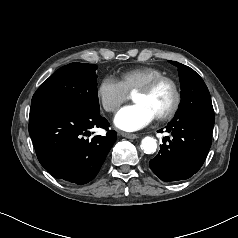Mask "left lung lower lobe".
I'll return each instance as SVG.
<instances>
[{
	"mask_svg": "<svg viewBox=\"0 0 238 238\" xmlns=\"http://www.w3.org/2000/svg\"><path fill=\"white\" fill-rule=\"evenodd\" d=\"M213 126L214 121L172 120L165 128L172 139L160 145L159 153L150 160L152 171L165 182L185 180L197 173L210 149Z\"/></svg>",
	"mask_w": 238,
	"mask_h": 238,
	"instance_id": "0a47b994",
	"label": "left lung lower lobe"
}]
</instances>
